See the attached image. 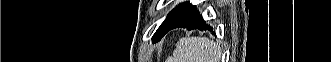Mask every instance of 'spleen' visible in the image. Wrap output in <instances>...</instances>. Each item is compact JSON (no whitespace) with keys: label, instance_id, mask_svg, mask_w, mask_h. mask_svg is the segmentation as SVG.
Segmentation results:
<instances>
[{"label":"spleen","instance_id":"spleen-1","mask_svg":"<svg viewBox=\"0 0 331 62\" xmlns=\"http://www.w3.org/2000/svg\"><path fill=\"white\" fill-rule=\"evenodd\" d=\"M219 52L208 38H182L173 53L174 62H217Z\"/></svg>","mask_w":331,"mask_h":62}]
</instances>
